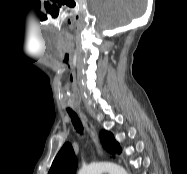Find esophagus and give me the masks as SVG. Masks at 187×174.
Wrapping results in <instances>:
<instances>
[{"instance_id":"obj_1","label":"esophagus","mask_w":187,"mask_h":174,"mask_svg":"<svg viewBox=\"0 0 187 174\" xmlns=\"http://www.w3.org/2000/svg\"><path fill=\"white\" fill-rule=\"evenodd\" d=\"M78 114L80 116V119H81L85 129L87 130L88 134L90 135L92 141L95 144L97 153L100 156H103L104 155V150L102 149L101 143L99 141L98 134H97L94 126L92 125V123L88 120L86 115L80 109L78 110Z\"/></svg>"}]
</instances>
